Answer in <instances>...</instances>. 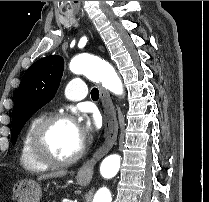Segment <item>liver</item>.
Instances as JSON below:
<instances>
[{"label": "liver", "mask_w": 209, "mask_h": 202, "mask_svg": "<svg viewBox=\"0 0 209 202\" xmlns=\"http://www.w3.org/2000/svg\"><path fill=\"white\" fill-rule=\"evenodd\" d=\"M66 174H67V171H57V172L49 173V174H46V175H42L38 179L43 180V179L55 178V177L64 176Z\"/></svg>", "instance_id": "liver-1"}]
</instances>
